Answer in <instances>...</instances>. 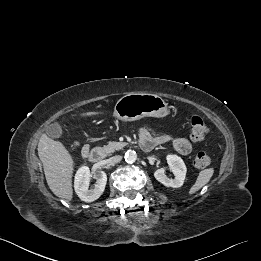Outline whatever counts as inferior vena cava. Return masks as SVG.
Returning <instances> with one entry per match:
<instances>
[{"instance_id": "602c4592", "label": "inferior vena cava", "mask_w": 261, "mask_h": 261, "mask_svg": "<svg viewBox=\"0 0 261 261\" xmlns=\"http://www.w3.org/2000/svg\"><path fill=\"white\" fill-rule=\"evenodd\" d=\"M122 160V156L116 155L109 159L110 164H117Z\"/></svg>"}]
</instances>
